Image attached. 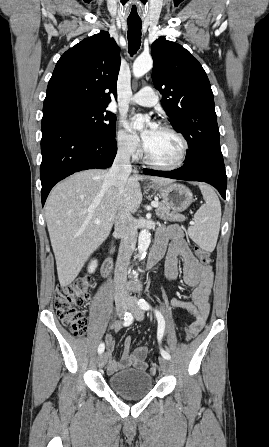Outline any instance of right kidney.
<instances>
[{
  "instance_id": "1",
  "label": "right kidney",
  "mask_w": 269,
  "mask_h": 447,
  "mask_svg": "<svg viewBox=\"0 0 269 447\" xmlns=\"http://www.w3.org/2000/svg\"><path fill=\"white\" fill-rule=\"evenodd\" d=\"M97 267V259H92L88 265V271L89 273H93Z\"/></svg>"
}]
</instances>
